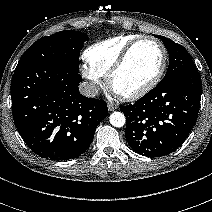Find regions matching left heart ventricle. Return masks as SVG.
Instances as JSON below:
<instances>
[{
  "instance_id": "left-heart-ventricle-1",
  "label": "left heart ventricle",
  "mask_w": 212,
  "mask_h": 212,
  "mask_svg": "<svg viewBox=\"0 0 212 212\" xmlns=\"http://www.w3.org/2000/svg\"><path fill=\"white\" fill-rule=\"evenodd\" d=\"M161 61L162 52L159 46L152 42L139 44L115 76V89L120 93H130L142 87L155 76Z\"/></svg>"
}]
</instances>
